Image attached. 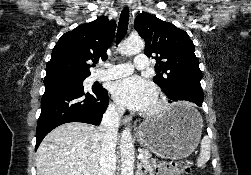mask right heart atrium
I'll use <instances>...</instances> for the list:
<instances>
[{
	"label": "right heart atrium",
	"instance_id": "right-heart-atrium-1",
	"mask_svg": "<svg viewBox=\"0 0 251 175\" xmlns=\"http://www.w3.org/2000/svg\"><path fill=\"white\" fill-rule=\"evenodd\" d=\"M110 112H111L113 115H115V116H119V115H121V113H122L121 109H120L118 106H116L115 104H112V105L110 106Z\"/></svg>",
	"mask_w": 251,
	"mask_h": 175
}]
</instances>
